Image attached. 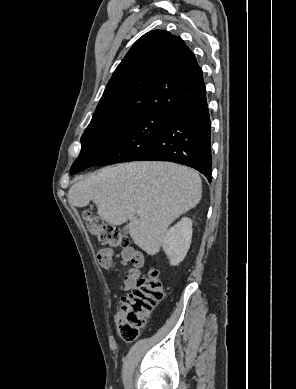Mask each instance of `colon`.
Returning <instances> with one entry per match:
<instances>
[{"instance_id":"obj_1","label":"colon","mask_w":296,"mask_h":389,"mask_svg":"<svg viewBox=\"0 0 296 389\" xmlns=\"http://www.w3.org/2000/svg\"><path fill=\"white\" fill-rule=\"evenodd\" d=\"M82 218L89 233L99 242L112 248L126 247L129 238L116 226L106 223L91 211H84ZM164 288L160 273L150 268L133 290L121 298V308L116 314V331L124 342L136 340L146 325L153 309L163 299Z\"/></svg>"}]
</instances>
